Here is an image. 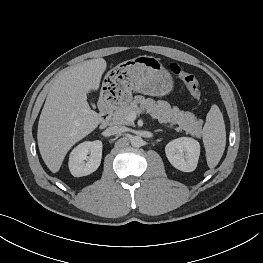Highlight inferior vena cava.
Instances as JSON below:
<instances>
[{"label": "inferior vena cava", "mask_w": 263, "mask_h": 263, "mask_svg": "<svg viewBox=\"0 0 263 263\" xmlns=\"http://www.w3.org/2000/svg\"><path fill=\"white\" fill-rule=\"evenodd\" d=\"M125 131H126L125 127L114 125V126L108 127L105 132L108 135H118V134H121V133H123Z\"/></svg>", "instance_id": "inferior-vena-cava-1"}]
</instances>
